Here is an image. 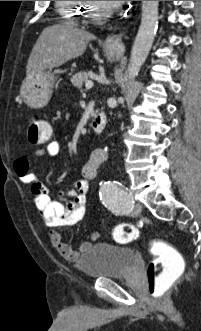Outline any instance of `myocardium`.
<instances>
[{
  "label": "myocardium",
  "instance_id": "myocardium-1",
  "mask_svg": "<svg viewBox=\"0 0 201 331\" xmlns=\"http://www.w3.org/2000/svg\"><path fill=\"white\" fill-rule=\"evenodd\" d=\"M87 3L85 18L92 23H101L113 13L111 8H102L97 1H87Z\"/></svg>",
  "mask_w": 201,
  "mask_h": 331
}]
</instances>
